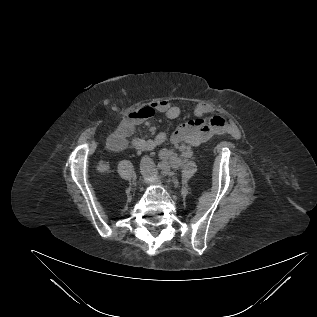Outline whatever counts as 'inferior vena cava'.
I'll return each instance as SVG.
<instances>
[{
	"instance_id": "obj_1",
	"label": "inferior vena cava",
	"mask_w": 317,
	"mask_h": 317,
	"mask_svg": "<svg viewBox=\"0 0 317 317\" xmlns=\"http://www.w3.org/2000/svg\"><path fill=\"white\" fill-rule=\"evenodd\" d=\"M141 164H142V165H147V164H153V162L151 161L150 158L144 157V158L141 160Z\"/></svg>"
}]
</instances>
